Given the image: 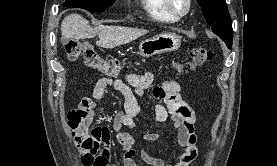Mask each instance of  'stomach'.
I'll return each instance as SVG.
<instances>
[{
    "mask_svg": "<svg viewBox=\"0 0 277 166\" xmlns=\"http://www.w3.org/2000/svg\"><path fill=\"white\" fill-rule=\"evenodd\" d=\"M181 40L175 33H160L139 45V54L142 57H151L156 54L175 51L180 47Z\"/></svg>",
    "mask_w": 277,
    "mask_h": 166,
    "instance_id": "stomach-1",
    "label": "stomach"
}]
</instances>
